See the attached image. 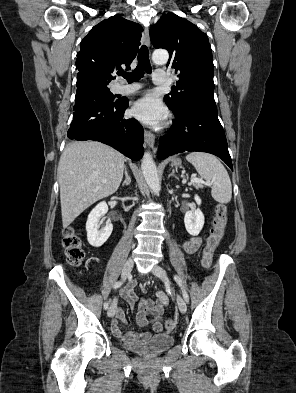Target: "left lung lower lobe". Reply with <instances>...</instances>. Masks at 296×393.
<instances>
[{
    "label": "left lung lower lobe",
    "mask_w": 296,
    "mask_h": 393,
    "mask_svg": "<svg viewBox=\"0 0 296 393\" xmlns=\"http://www.w3.org/2000/svg\"><path fill=\"white\" fill-rule=\"evenodd\" d=\"M175 117L169 133L160 138L158 159L184 151H201L220 157L233 170L216 104L198 102Z\"/></svg>",
    "instance_id": "left-lung-lower-lobe-1"
}]
</instances>
